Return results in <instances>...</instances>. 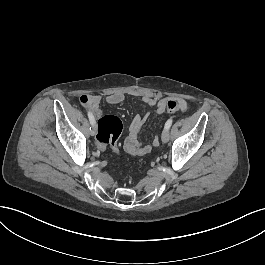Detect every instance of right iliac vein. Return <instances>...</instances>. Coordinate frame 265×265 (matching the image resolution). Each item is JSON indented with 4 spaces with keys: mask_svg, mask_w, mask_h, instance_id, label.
<instances>
[{
    "mask_svg": "<svg viewBox=\"0 0 265 265\" xmlns=\"http://www.w3.org/2000/svg\"><path fill=\"white\" fill-rule=\"evenodd\" d=\"M90 134H91L92 136H95V135L97 134V126H96V124H94V125H92V126L90 127Z\"/></svg>",
    "mask_w": 265,
    "mask_h": 265,
    "instance_id": "right-iliac-vein-1",
    "label": "right iliac vein"
}]
</instances>
